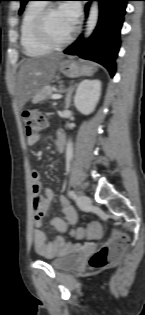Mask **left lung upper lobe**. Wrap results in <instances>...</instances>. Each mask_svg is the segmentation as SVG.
Wrapping results in <instances>:
<instances>
[{
  "label": "left lung upper lobe",
  "instance_id": "obj_1",
  "mask_svg": "<svg viewBox=\"0 0 145 315\" xmlns=\"http://www.w3.org/2000/svg\"><path fill=\"white\" fill-rule=\"evenodd\" d=\"M21 2V7H20V10H19V14H22L23 10H24V7H25V4L30 1V0H18Z\"/></svg>",
  "mask_w": 145,
  "mask_h": 315
}]
</instances>
